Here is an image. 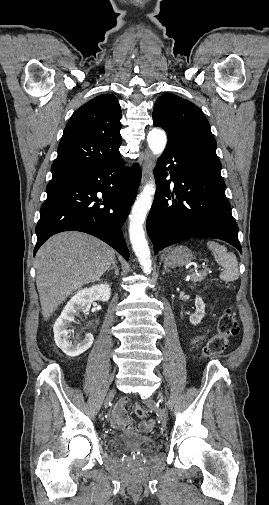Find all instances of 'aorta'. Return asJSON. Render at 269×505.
<instances>
[{"label":"aorta","instance_id":"1","mask_svg":"<svg viewBox=\"0 0 269 505\" xmlns=\"http://www.w3.org/2000/svg\"><path fill=\"white\" fill-rule=\"evenodd\" d=\"M147 141L152 154L160 156L166 147L167 135L164 130L153 128L147 136ZM154 185L155 181L152 177L138 195L129 216V237L132 248L144 273L147 274L151 272V255L143 224L152 205Z\"/></svg>","mask_w":269,"mask_h":505}]
</instances>
